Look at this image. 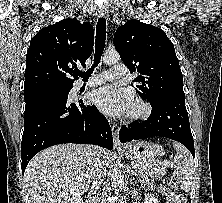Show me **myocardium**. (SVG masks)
Segmentation results:
<instances>
[{
  "instance_id": "f54148a6",
  "label": "myocardium",
  "mask_w": 222,
  "mask_h": 203,
  "mask_svg": "<svg viewBox=\"0 0 222 203\" xmlns=\"http://www.w3.org/2000/svg\"><path fill=\"white\" fill-rule=\"evenodd\" d=\"M151 113L149 104L141 99H136L128 113L130 120H142L147 118Z\"/></svg>"
}]
</instances>
